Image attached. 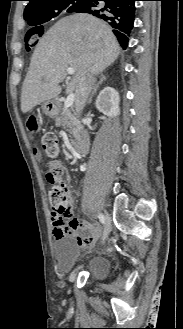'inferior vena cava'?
Returning a JSON list of instances; mask_svg holds the SVG:
<instances>
[{"label": "inferior vena cava", "mask_w": 183, "mask_h": 329, "mask_svg": "<svg viewBox=\"0 0 183 329\" xmlns=\"http://www.w3.org/2000/svg\"><path fill=\"white\" fill-rule=\"evenodd\" d=\"M93 88H94V79L92 74L88 72L82 78L80 88L76 94L75 110L77 114L80 115L82 113L87 98Z\"/></svg>", "instance_id": "inferior-vena-cava-1"}]
</instances>
